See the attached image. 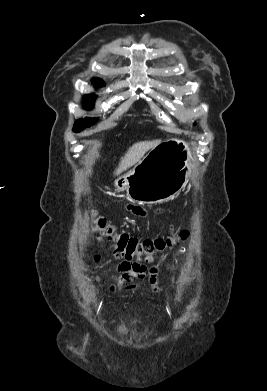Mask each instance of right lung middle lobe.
I'll return each instance as SVG.
<instances>
[{
	"instance_id": "right-lung-middle-lobe-1",
	"label": "right lung middle lobe",
	"mask_w": 267,
	"mask_h": 391,
	"mask_svg": "<svg viewBox=\"0 0 267 391\" xmlns=\"http://www.w3.org/2000/svg\"><path fill=\"white\" fill-rule=\"evenodd\" d=\"M94 95H85L84 96V107L86 109H92L94 107ZM93 121L88 120H77L74 124V132H80L84 128L92 125Z\"/></svg>"
}]
</instances>
